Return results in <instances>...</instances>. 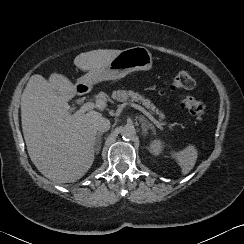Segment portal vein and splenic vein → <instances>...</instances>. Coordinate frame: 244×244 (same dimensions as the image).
I'll return each instance as SVG.
<instances>
[{"label":"portal vein and splenic vein","mask_w":244,"mask_h":244,"mask_svg":"<svg viewBox=\"0 0 244 244\" xmlns=\"http://www.w3.org/2000/svg\"><path fill=\"white\" fill-rule=\"evenodd\" d=\"M132 107H134L135 109L141 111L143 114H145L147 117H149V119L151 121H153V123L161 130H163L162 124L157 121L147 110H145L142 106L137 105V104H131ZM99 107V105L97 103H93V102H86L84 103L81 108L79 109L80 113H85L86 111L92 110L94 108Z\"/></svg>","instance_id":"1"}]
</instances>
